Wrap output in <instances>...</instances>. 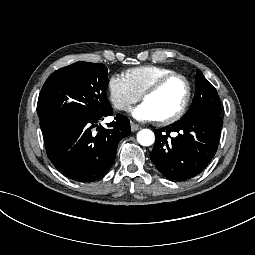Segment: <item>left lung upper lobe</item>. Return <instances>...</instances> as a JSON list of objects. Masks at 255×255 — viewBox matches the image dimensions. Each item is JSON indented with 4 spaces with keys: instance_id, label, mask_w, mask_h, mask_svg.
<instances>
[{
    "instance_id": "left-lung-upper-lobe-1",
    "label": "left lung upper lobe",
    "mask_w": 255,
    "mask_h": 255,
    "mask_svg": "<svg viewBox=\"0 0 255 255\" xmlns=\"http://www.w3.org/2000/svg\"><path fill=\"white\" fill-rule=\"evenodd\" d=\"M196 91L193 102L185 115L198 110L221 113L219 97L214 86L209 83L200 70H196Z\"/></svg>"
}]
</instances>
